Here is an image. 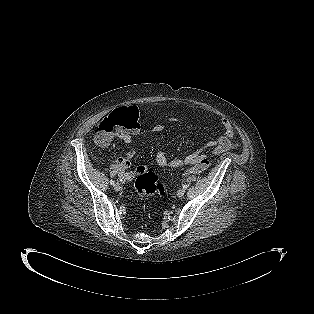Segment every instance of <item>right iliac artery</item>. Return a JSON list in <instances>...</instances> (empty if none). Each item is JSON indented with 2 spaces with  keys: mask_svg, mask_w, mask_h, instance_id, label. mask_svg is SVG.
Returning a JSON list of instances; mask_svg holds the SVG:
<instances>
[{
  "mask_svg": "<svg viewBox=\"0 0 314 314\" xmlns=\"http://www.w3.org/2000/svg\"><path fill=\"white\" fill-rule=\"evenodd\" d=\"M114 183H115V182H114L113 180H110V184H111V185H114Z\"/></svg>",
  "mask_w": 314,
  "mask_h": 314,
  "instance_id": "1",
  "label": "right iliac artery"
}]
</instances>
